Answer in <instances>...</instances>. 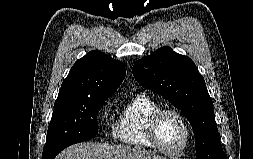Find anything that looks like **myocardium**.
I'll list each match as a JSON object with an SVG mask.
<instances>
[{
    "mask_svg": "<svg viewBox=\"0 0 253 159\" xmlns=\"http://www.w3.org/2000/svg\"><path fill=\"white\" fill-rule=\"evenodd\" d=\"M166 114H173L176 117H178V119L181 121L184 127V131H185L184 142L182 146L176 151H169L165 149L160 144L159 139H158V125L161 118ZM147 136L152 146L155 149L159 150L161 153L167 156H180L185 152V150L187 149L190 143L191 130L186 118L183 116L181 112L172 108H160L149 119V122L147 125Z\"/></svg>",
    "mask_w": 253,
    "mask_h": 159,
    "instance_id": "1",
    "label": "myocardium"
}]
</instances>
